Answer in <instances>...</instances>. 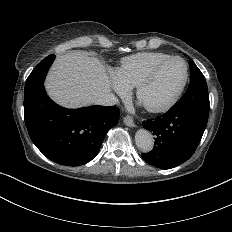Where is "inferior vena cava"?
Segmentation results:
<instances>
[{
	"mask_svg": "<svg viewBox=\"0 0 232 232\" xmlns=\"http://www.w3.org/2000/svg\"><path fill=\"white\" fill-rule=\"evenodd\" d=\"M97 104L103 106H113L119 103L118 98L113 93L103 94L97 101Z\"/></svg>",
	"mask_w": 232,
	"mask_h": 232,
	"instance_id": "1",
	"label": "inferior vena cava"
}]
</instances>
